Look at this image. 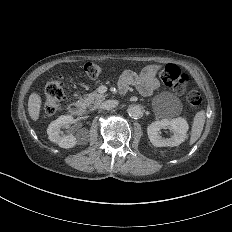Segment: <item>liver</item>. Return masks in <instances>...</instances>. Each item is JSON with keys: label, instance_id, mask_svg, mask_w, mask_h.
<instances>
[{"label": "liver", "instance_id": "liver-1", "mask_svg": "<svg viewBox=\"0 0 232 232\" xmlns=\"http://www.w3.org/2000/svg\"><path fill=\"white\" fill-rule=\"evenodd\" d=\"M40 99L37 95L33 94L29 98L28 109L30 116L33 119H37L39 114Z\"/></svg>", "mask_w": 232, "mask_h": 232}]
</instances>
